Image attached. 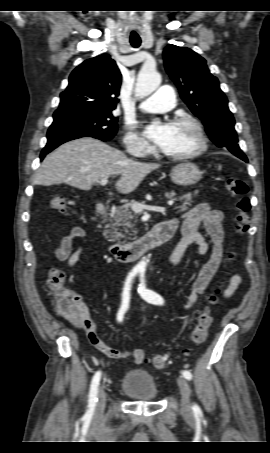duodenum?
Returning <instances> with one entry per match:
<instances>
[{"instance_id": "obj_1", "label": "duodenum", "mask_w": 270, "mask_h": 453, "mask_svg": "<svg viewBox=\"0 0 270 453\" xmlns=\"http://www.w3.org/2000/svg\"><path fill=\"white\" fill-rule=\"evenodd\" d=\"M106 206L97 207V214L104 216L107 213ZM169 220V219H168ZM168 220L159 222L145 236L133 242L123 245H113L110 253L120 262H128L139 258L145 252L168 241L176 231Z\"/></svg>"}]
</instances>
